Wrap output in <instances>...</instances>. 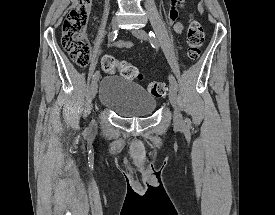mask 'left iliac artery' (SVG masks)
<instances>
[{
    "mask_svg": "<svg viewBox=\"0 0 275 215\" xmlns=\"http://www.w3.org/2000/svg\"><path fill=\"white\" fill-rule=\"evenodd\" d=\"M149 40H150V43L153 48H158L157 38L152 31L149 32ZM168 79H169L170 84L173 85L177 89L178 84H177L175 78L172 75H169Z\"/></svg>",
    "mask_w": 275,
    "mask_h": 215,
    "instance_id": "44dca946",
    "label": "left iliac artery"
}]
</instances>
